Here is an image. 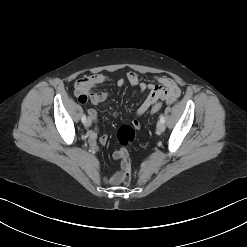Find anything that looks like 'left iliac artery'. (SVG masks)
<instances>
[{"instance_id":"obj_1","label":"left iliac artery","mask_w":247,"mask_h":247,"mask_svg":"<svg viewBox=\"0 0 247 247\" xmlns=\"http://www.w3.org/2000/svg\"><path fill=\"white\" fill-rule=\"evenodd\" d=\"M160 121L163 123L165 122V117L163 115L160 116Z\"/></svg>"}]
</instances>
